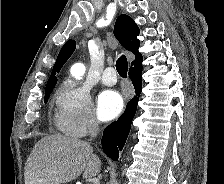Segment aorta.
Wrapping results in <instances>:
<instances>
[{"instance_id": "obj_1", "label": "aorta", "mask_w": 224, "mask_h": 184, "mask_svg": "<svg viewBox=\"0 0 224 184\" xmlns=\"http://www.w3.org/2000/svg\"><path fill=\"white\" fill-rule=\"evenodd\" d=\"M85 72V66L83 64H75L71 68V75L76 79H80Z\"/></svg>"}]
</instances>
